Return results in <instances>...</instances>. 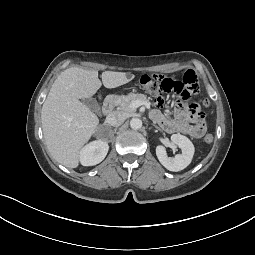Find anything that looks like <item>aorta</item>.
Masks as SVG:
<instances>
[{"label": "aorta", "mask_w": 255, "mask_h": 255, "mask_svg": "<svg viewBox=\"0 0 255 255\" xmlns=\"http://www.w3.org/2000/svg\"><path fill=\"white\" fill-rule=\"evenodd\" d=\"M130 127L134 130L140 129L142 127V120L139 118H132L130 120Z\"/></svg>", "instance_id": "1"}]
</instances>
